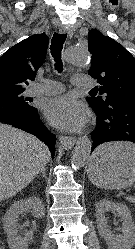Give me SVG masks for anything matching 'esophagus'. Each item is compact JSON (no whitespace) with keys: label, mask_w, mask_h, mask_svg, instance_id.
<instances>
[{"label":"esophagus","mask_w":135,"mask_h":249,"mask_svg":"<svg viewBox=\"0 0 135 249\" xmlns=\"http://www.w3.org/2000/svg\"><path fill=\"white\" fill-rule=\"evenodd\" d=\"M59 32L61 34H67L69 38L73 36V30L69 26H61L59 28ZM60 145L65 149H71L75 144V137H68V136H60L59 138Z\"/></svg>","instance_id":"1"}]
</instances>
